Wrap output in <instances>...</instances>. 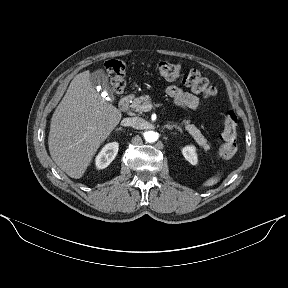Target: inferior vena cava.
Wrapping results in <instances>:
<instances>
[{"mask_svg":"<svg viewBox=\"0 0 288 288\" xmlns=\"http://www.w3.org/2000/svg\"><path fill=\"white\" fill-rule=\"evenodd\" d=\"M127 125L133 127V128H136V129H151V130H155L157 129L158 127V124L157 122L155 121H147V120H144L143 118L141 117H132V118H129L128 119V123Z\"/></svg>","mask_w":288,"mask_h":288,"instance_id":"inferior-vena-cava-1","label":"inferior vena cava"}]
</instances>
